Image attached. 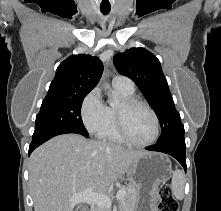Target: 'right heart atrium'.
Listing matches in <instances>:
<instances>
[{
	"label": "right heart atrium",
	"instance_id": "obj_1",
	"mask_svg": "<svg viewBox=\"0 0 221 211\" xmlns=\"http://www.w3.org/2000/svg\"><path fill=\"white\" fill-rule=\"evenodd\" d=\"M80 115L86 130L93 135L101 136L108 128L110 123L109 109L98 88L92 89L84 97L80 107Z\"/></svg>",
	"mask_w": 221,
	"mask_h": 211
}]
</instances>
